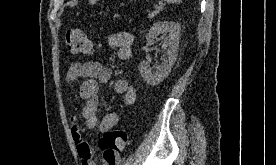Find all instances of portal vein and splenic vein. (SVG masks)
Returning a JSON list of instances; mask_svg holds the SVG:
<instances>
[{
    "label": "portal vein and splenic vein",
    "instance_id": "portal-vein-and-splenic-vein-1",
    "mask_svg": "<svg viewBox=\"0 0 276 165\" xmlns=\"http://www.w3.org/2000/svg\"><path fill=\"white\" fill-rule=\"evenodd\" d=\"M155 8H156V10H155V11H153V12H151V13H149V14H148V18H152V17H154V15L157 13V10H159V9H160V7H159V6H156Z\"/></svg>",
    "mask_w": 276,
    "mask_h": 165
}]
</instances>
